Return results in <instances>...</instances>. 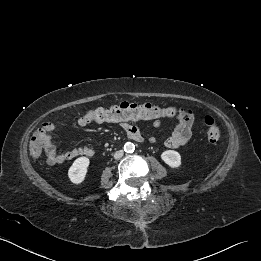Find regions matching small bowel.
I'll list each match as a JSON object with an SVG mask.
<instances>
[{
	"mask_svg": "<svg viewBox=\"0 0 261 261\" xmlns=\"http://www.w3.org/2000/svg\"><path fill=\"white\" fill-rule=\"evenodd\" d=\"M177 124L173 130V132L164 139V145L168 148H178L185 146L192 134V126L194 123V115L190 110H187L184 114L176 116ZM89 122L85 118H79L77 120V125L80 127L86 126ZM120 125V127L125 131L128 137H130L133 133H140L139 129L128 123L127 121H117L112 122ZM153 127L157 128L160 125V120L156 119L153 121ZM47 130L46 142L44 146L46 161L48 164H61L66 161H70L79 156H87L91 157L95 155L96 150L92 147H79L72 148L63 153H59L56 145L54 144L50 132L55 130V126L53 124H45L43 126ZM151 143H157L158 138L155 136L150 137Z\"/></svg>",
	"mask_w": 261,
	"mask_h": 261,
	"instance_id": "small-bowel-1",
	"label": "small bowel"
}]
</instances>
